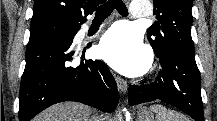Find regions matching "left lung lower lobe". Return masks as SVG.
Wrapping results in <instances>:
<instances>
[{"label":"left lung lower lobe","instance_id":"0a47b994","mask_svg":"<svg viewBox=\"0 0 217 121\" xmlns=\"http://www.w3.org/2000/svg\"><path fill=\"white\" fill-rule=\"evenodd\" d=\"M156 56L162 67L157 82L130 86V105L157 100L179 108L196 121H204L200 73L194 54L169 48Z\"/></svg>","mask_w":217,"mask_h":121}]
</instances>
